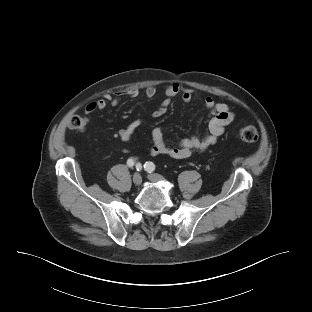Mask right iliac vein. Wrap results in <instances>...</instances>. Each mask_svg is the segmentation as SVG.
I'll list each match as a JSON object with an SVG mask.
<instances>
[{"mask_svg": "<svg viewBox=\"0 0 312 312\" xmlns=\"http://www.w3.org/2000/svg\"><path fill=\"white\" fill-rule=\"evenodd\" d=\"M133 183L136 185V186H139L141 185L142 183V177L139 173H135L134 176H133Z\"/></svg>", "mask_w": 312, "mask_h": 312, "instance_id": "obj_1", "label": "right iliac vein"}]
</instances>
